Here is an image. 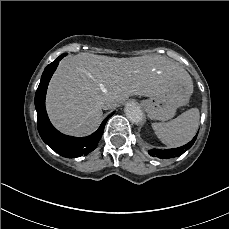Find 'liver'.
I'll use <instances>...</instances> for the list:
<instances>
[{
	"mask_svg": "<svg viewBox=\"0 0 229 229\" xmlns=\"http://www.w3.org/2000/svg\"><path fill=\"white\" fill-rule=\"evenodd\" d=\"M175 84L193 87L189 73L164 56L80 53L60 61L48 86L46 110L58 130L84 136L101 123L104 105L114 108L132 95L154 97Z\"/></svg>",
	"mask_w": 229,
	"mask_h": 229,
	"instance_id": "1",
	"label": "liver"
}]
</instances>
